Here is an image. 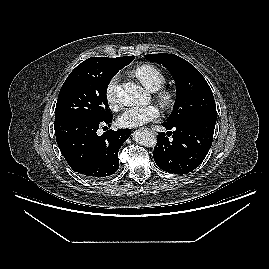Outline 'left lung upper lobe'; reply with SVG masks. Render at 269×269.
I'll return each mask as SVG.
<instances>
[{
	"instance_id": "obj_1",
	"label": "left lung upper lobe",
	"mask_w": 269,
	"mask_h": 269,
	"mask_svg": "<svg viewBox=\"0 0 269 269\" xmlns=\"http://www.w3.org/2000/svg\"><path fill=\"white\" fill-rule=\"evenodd\" d=\"M145 59L166 67L176 80L177 100L164 124L175 126L203 115L216 116L212 91L205 78L192 64L177 55L167 53L148 54Z\"/></svg>"
}]
</instances>
